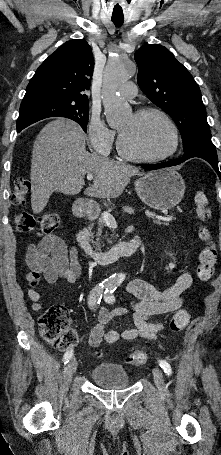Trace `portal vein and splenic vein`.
<instances>
[{"label":"portal vein and splenic vein","instance_id":"1","mask_svg":"<svg viewBox=\"0 0 221 455\" xmlns=\"http://www.w3.org/2000/svg\"><path fill=\"white\" fill-rule=\"evenodd\" d=\"M93 178H94L93 174H87L88 180H92ZM150 217L153 219L155 218L156 221H159V222H160V220L165 221V222H169V221L173 220V216L162 217V216H154L153 214H151ZM102 218L109 227H111V228L117 227V222H116L115 218L109 212H103Z\"/></svg>","mask_w":221,"mask_h":455}]
</instances>
